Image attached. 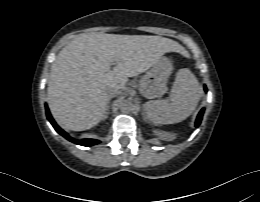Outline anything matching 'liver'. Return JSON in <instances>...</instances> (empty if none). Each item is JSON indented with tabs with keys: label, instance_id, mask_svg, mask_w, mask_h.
Here are the masks:
<instances>
[{
	"label": "liver",
	"instance_id": "6515ba94",
	"mask_svg": "<svg viewBox=\"0 0 260 202\" xmlns=\"http://www.w3.org/2000/svg\"><path fill=\"white\" fill-rule=\"evenodd\" d=\"M184 48L160 36L81 34L51 65L48 104L55 120L73 131L89 129L106 114L110 88L122 89L128 77L141 74L165 53ZM112 65H116L111 69Z\"/></svg>",
	"mask_w": 260,
	"mask_h": 202
}]
</instances>
